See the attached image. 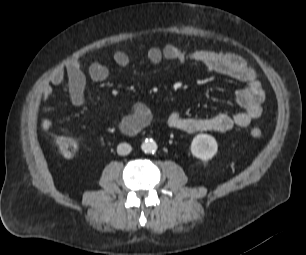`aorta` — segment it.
<instances>
[{"label": "aorta", "instance_id": "aorta-1", "mask_svg": "<svg viewBox=\"0 0 306 255\" xmlns=\"http://www.w3.org/2000/svg\"><path fill=\"white\" fill-rule=\"evenodd\" d=\"M141 149L146 154L154 153L157 150V144L152 139H146L141 145Z\"/></svg>", "mask_w": 306, "mask_h": 255}]
</instances>
